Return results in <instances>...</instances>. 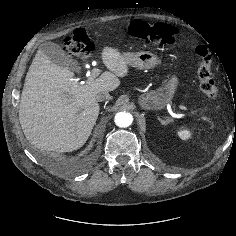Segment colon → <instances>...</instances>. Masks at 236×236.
<instances>
[{
  "instance_id": "5ec220e1",
  "label": "colon",
  "mask_w": 236,
  "mask_h": 236,
  "mask_svg": "<svg viewBox=\"0 0 236 236\" xmlns=\"http://www.w3.org/2000/svg\"><path fill=\"white\" fill-rule=\"evenodd\" d=\"M126 30L132 37L153 44H172L178 34L177 30L170 25L148 23L141 19L131 21ZM92 48L87 32L81 28L76 29L66 40L65 50L70 57L85 56L92 51ZM196 52L201 57L197 71L200 90L206 96L215 99L219 95V86L211 72L212 54L204 45L197 46Z\"/></svg>"
}]
</instances>
